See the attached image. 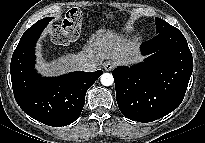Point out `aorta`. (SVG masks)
Instances as JSON below:
<instances>
[{
  "label": "aorta",
  "mask_w": 205,
  "mask_h": 143,
  "mask_svg": "<svg viewBox=\"0 0 205 143\" xmlns=\"http://www.w3.org/2000/svg\"><path fill=\"white\" fill-rule=\"evenodd\" d=\"M100 79H101V83L104 86H110L114 82V77H113V75L111 73H103L101 75Z\"/></svg>",
  "instance_id": "aorta-1"
}]
</instances>
